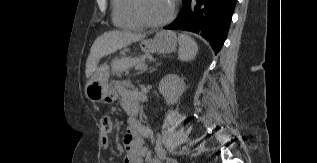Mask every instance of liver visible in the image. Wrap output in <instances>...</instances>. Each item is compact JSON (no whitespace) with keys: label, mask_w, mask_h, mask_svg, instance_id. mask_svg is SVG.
Returning a JSON list of instances; mask_svg holds the SVG:
<instances>
[{"label":"liver","mask_w":317,"mask_h":163,"mask_svg":"<svg viewBox=\"0 0 317 163\" xmlns=\"http://www.w3.org/2000/svg\"><path fill=\"white\" fill-rule=\"evenodd\" d=\"M145 35L125 31H109L99 36L93 43L86 61V78L93 76L100 59L126 46L142 40Z\"/></svg>","instance_id":"1"}]
</instances>
